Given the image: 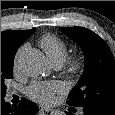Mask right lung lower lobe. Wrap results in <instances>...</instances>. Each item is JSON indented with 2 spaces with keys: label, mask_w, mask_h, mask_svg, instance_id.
Segmentation results:
<instances>
[{
  "label": "right lung lower lobe",
  "mask_w": 115,
  "mask_h": 115,
  "mask_svg": "<svg viewBox=\"0 0 115 115\" xmlns=\"http://www.w3.org/2000/svg\"><path fill=\"white\" fill-rule=\"evenodd\" d=\"M38 112V106L23 98L18 106H11L1 99V115H34Z\"/></svg>",
  "instance_id": "right-lung-lower-lobe-1"
}]
</instances>
